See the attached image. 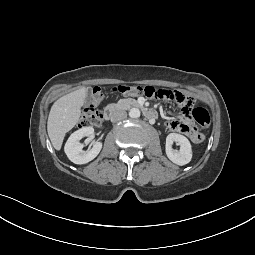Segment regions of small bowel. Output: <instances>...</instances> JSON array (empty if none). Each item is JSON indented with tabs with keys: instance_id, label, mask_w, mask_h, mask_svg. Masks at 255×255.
<instances>
[{
	"instance_id": "c3829d8e",
	"label": "small bowel",
	"mask_w": 255,
	"mask_h": 255,
	"mask_svg": "<svg viewBox=\"0 0 255 255\" xmlns=\"http://www.w3.org/2000/svg\"><path fill=\"white\" fill-rule=\"evenodd\" d=\"M166 125L172 131L186 133V129L189 127L190 121L183 116L181 120H168Z\"/></svg>"
}]
</instances>
